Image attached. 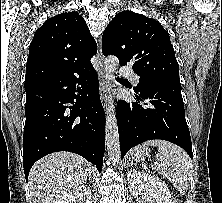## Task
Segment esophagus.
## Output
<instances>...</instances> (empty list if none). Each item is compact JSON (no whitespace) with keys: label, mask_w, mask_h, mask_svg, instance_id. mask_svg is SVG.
Wrapping results in <instances>:
<instances>
[{"label":"esophagus","mask_w":222,"mask_h":203,"mask_svg":"<svg viewBox=\"0 0 222 203\" xmlns=\"http://www.w3.org/2000/svg\"><path fill=\"white\" fill-rule=\"evenodd\" d=\"M97 59L99 63V77H100V96L101 101L105 109H107V98H106V85H105V71H104V57L102 54V47H101V41L99 44V50L97 53Z\"/></svg>","instance_id":"esophagus-1"}]
</instances>
